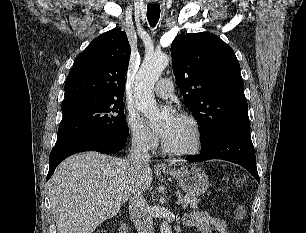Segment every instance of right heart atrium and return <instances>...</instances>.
Masks as SVG:
<instances>
[{"label": "right heart atrium", "instance_id": "1", "mask_svg": "<svg viewBox=\"0 0 306 233\" xmlns=\"http://www.w3.org/2000/svg\"><path fill=\"white\" fill-rule=\"evenodd\" d=\"M127 129L132 145L141 151H153L157 147L158 139L145 124L143 118L137 112H129L127 115Z\"/></svg>", "mask_w": 306, "mask_h": 233}]
</instances>
